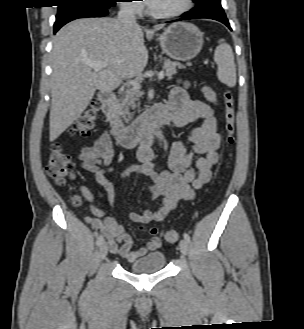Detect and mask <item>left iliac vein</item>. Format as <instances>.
<instances>
[{"mask_svg": "<svg viewBox=\"0 0 304 329\" xmlns=\"http://www.w3.org/2000/svg\"><path fill=\"white\" fill-rule=\"evenodd\" d=\"M179 249H180L182 254H184V255L187 254V252H188V242L185 239L180 241Z\"/></svg>", "mask_w": 304, "mask_h": 329, "instance_id": "1", "label": "left iliac vein"}]
</instances>
